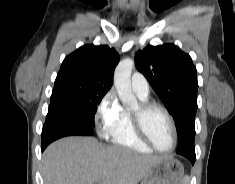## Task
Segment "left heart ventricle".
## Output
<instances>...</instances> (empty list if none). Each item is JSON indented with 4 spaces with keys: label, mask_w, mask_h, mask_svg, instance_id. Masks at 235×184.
<instances>
[{
    "label": "left heart ventricle",
    "mask_w": 235,
    "mask_h": 184,
    "mask_svg": "<svg viewBox=\"0 0 235 184\" xmlns=\"http://www.w3.org/2000/svg\"><path fill=\"white\" fill-rule=\"evenodd\" d=\"M138 108L139 105L132 111H137ZM145 122L156 147L163 151H169L173 145V133L165 113L159 109H154L147 114Z\"/></svg>",
    "instance_id": "b2bd125f"
}]
</instances>
